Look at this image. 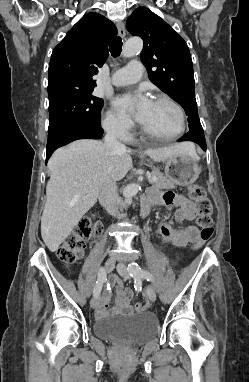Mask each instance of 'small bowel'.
<instances>
[{"label": "small bowel", "instance_id": "c3829d8e", "mask_svg": "<svg viewBox=\"0 0 249 382\" xmlns=\"http://www.w3.org/2000/svg\"><path fill=\"white\" fill-rule=\"evenodd\" d=\"M149 201L157 205L176 207L174 218L178 223L191 222L197 217V210L193 202L182 195H177L170 191L162 195L151 192ZM159 233L165 240L172 242L174 245L186 246L198 238L199 230L195 225L175 229L168 222H162L159 225ZM109 285L116 288L118 295L116 305L111 309L109 308V292L106 291L96 307L97 315L103 317L108 314L129 313L131 311L130 300L133 296L132 291L125 288L122 280L117 276L109 278Z\"/></svg>", "mask_w": 249, "mask_h": 382}]
</instances>
